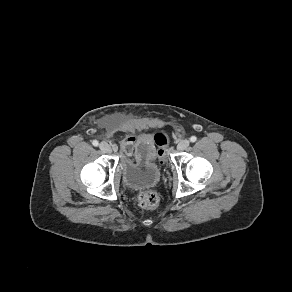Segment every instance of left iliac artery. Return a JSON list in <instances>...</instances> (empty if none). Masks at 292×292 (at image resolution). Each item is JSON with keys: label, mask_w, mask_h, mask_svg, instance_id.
Listing matches in <instances>:
<instances>
[{"label": "left iliac artery", "mask_w": 292, "mask_h": 292, "mask_svg": "<svg viewBox=\"0 0 292 292\" xmlns=\"http://www.w3.org/2000/svg\"><path fill=\"white\" fill-rule=\"evenodd\" d=\"M197 140V137L196 136H192L191 138H190V141L191 142H195Z\"/></svg>", "instance_id": "obj_1"}]
</instances>
